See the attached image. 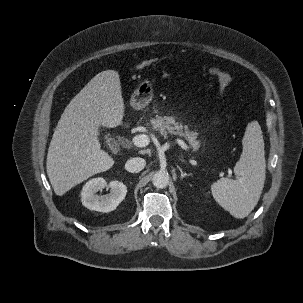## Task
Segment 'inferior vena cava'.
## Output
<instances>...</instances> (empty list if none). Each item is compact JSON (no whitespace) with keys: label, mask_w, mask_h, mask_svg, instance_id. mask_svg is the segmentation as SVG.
<instances>
[{"label":"inferior vena cava","mask_w":303,"mask_h":303,"mask_svg":"<svg viewBox=\"0 0 303 303\" xmlns=\"http://www.w3.org/2000/svg\"><path fill=\"white\" fill-rule=\"evenodd\" d=\"M146 165V161L142 158L136 157L127 160L125 163V169L131 173L140 172Z\"/></svg>","instance_id":"inferior-vena-cava-1"}]
</instances>
